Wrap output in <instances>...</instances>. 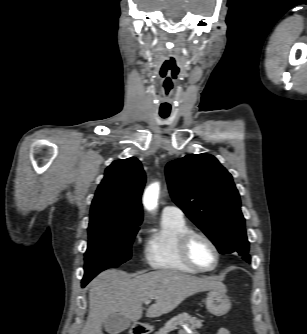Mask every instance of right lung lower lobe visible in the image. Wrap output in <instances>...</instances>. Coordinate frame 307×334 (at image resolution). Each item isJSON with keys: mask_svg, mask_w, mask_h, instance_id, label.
<instances>
[{"mask_svg": "<svg viewBox=\"0 0 307 334\" xmlns=\"http://www.w3.org/2000/svg\"><path fill=\"white\" fill-rule=\"evenodd\" d=\"M82 286L84 287L85 286V284L82 282Z\"/></svg>", "mask_w": 307, "mask_h": 334, "instance_id": "obj_1", "label": "right lung lower lobe"}]
</instances>
